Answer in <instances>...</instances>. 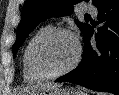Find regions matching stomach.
I'll list each match as a JSON object with an SVG mask.
<instances>
[{
	"label": "stomach",
	"mask_w": 119,
	"mask_h": 95,
	"mask_svg": "<svg viewBox=\"0 0 119 95\" xmlns=\"http://www.w3.org/2000/svg\"><path fill=\"white\" fill-rule=\"evenodd\" d=\"M26 95H86L84 92L74 88H46L37 89Z\"/></svg>",
	"instance_id": "0dacf381"
}]
</instances>
